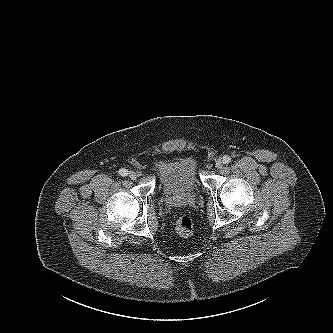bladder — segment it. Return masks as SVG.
Instances as JSON below:
<instances>
[{"instance_id":"obj_1","label":"bladder","mask_w":333,"mask_h":333,"mask_svg":"<svg viewBox=\"0 0 333 333\" xmlns=\"http://www.w3.org/2000/svg\"><path fill=\"white\" fill-rule=\"evenodd\" d=\"M198 160L193 155H181L158 162L157 179L166 195H190L199 186Z\"/></svg>"}]
</instances>
